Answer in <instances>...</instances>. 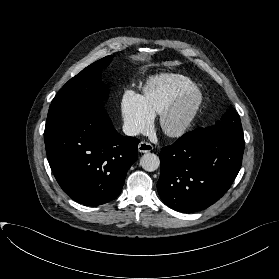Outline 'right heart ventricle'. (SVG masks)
Instances as JSON below:
<instances>
[{"mask_svg":"<svg viewBox=\"0 0 279 279\" xmlns=\"http://www.w3.org/2000/svg\"><path fill=\"white\" fill-rule=\"evenodd\" d=\"M198 88L189 77L167 73L149 79L143 86V99L152 113L160 114L184 93Z\"/></svg>","mask_w":279,"mask_h":279,"instance_id":"1","label":"right heart ventricle"}]
</instances>
